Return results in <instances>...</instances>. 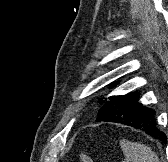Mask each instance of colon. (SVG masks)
Wrapping results in <instances>:
<instances>
[{
	"label": "colon",
	"mask_w": 168,
	"mask_h": 162,
	"mask_svg": "<svg viewBox=\"0 0 168 162\" xmlns=\"http://www.w3.org/2000/svg\"><path fill=\"white\" fill-rule=\"evenodd\" d=\"M79 161L80 162H93L91 157L88 156L87 154H80Z\"/></svg>",
	"instance_id": "obj_1"
}]
</instances>
